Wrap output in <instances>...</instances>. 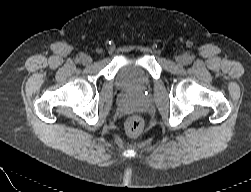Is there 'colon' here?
I'll list each match as a JSON object with an SVG mask.
<instances>
[{
  "instance_id": "colon-1",
  "label": "colon",
  "mask_w": 251,
  "mask_h": 192,
  "mask_svg": "<svg viewBox=\"0 0 251 192\" xmlns=\"http://www.w3.org/2000/svg\"><path fill=\"white\" fill-rule=\"evenodd\" d=\"M143 130V121L138 116H131L126 120L125 131L129 136H138Z\"/></svg>"
}]
</instances>
